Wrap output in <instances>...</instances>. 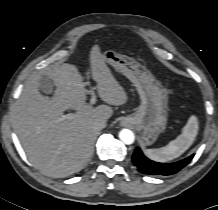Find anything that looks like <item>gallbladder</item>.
<instances>
[{
  "instance_id": "1",
  "label": "gallbladder",
  "mask_w": 218,
  "mask_h": 210,
  "mask_svg": "<svg viewBox=\"0 0 218 210\" xmlns=\"http://www.w3.org/2000/svg\"><path fill=\"white\" fill-rule=\"evenodd\" d=\"M39 89L45 94H53L54 83L49 77L42 76L39 80Z\"/></svg>"
}]
</instances>
